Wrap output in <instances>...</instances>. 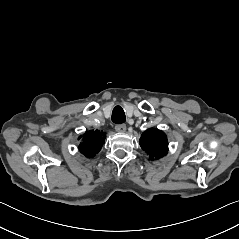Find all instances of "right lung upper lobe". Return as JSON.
Segmentation results:
<instances>
[{
  "label": "right lung upper lobe",
  "instance_id": "right-lung-upper-lobe-1",
  "mask_svg": "<svg viewBox=\"0 0 239 239\" xmlns=\"http://www.w3.org/2000/svg\"><path fill=\"white\" fill-rule=\"evenodd\" d=\"M106 133L101 131H88L79 139L82 142L79 145L80 152L88 158L94 157L101 149L104 144Z\"/></svg>",
  "mask_w": 239,
  "mask_h": 239
}]
</instances>
